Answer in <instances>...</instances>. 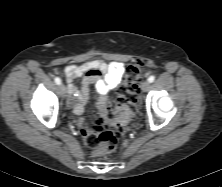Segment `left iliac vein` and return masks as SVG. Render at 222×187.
I'll use <instances>...</instances> for the list:
<instances>
[{
	"mask_svg": "<svg viewBox=\"0 0 222 187\" xmlns=\"http://www.w3.org/2000/svg\"><path fill=\"white\" fill-rule=\"evenodd\" d=\"M149 87H150V82L147 81V80L144 81V82L142 83V85H141V89H142L143 92L148 91Z\"/></svg>",
	"mask_w": 222,
	"mask_h": 187,
	"instance_id": "1",
	"label": "left iliac vein"
}]
</instances>
